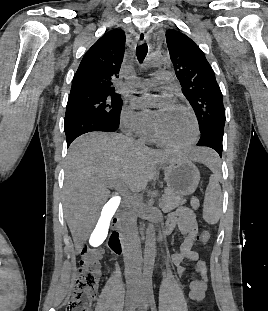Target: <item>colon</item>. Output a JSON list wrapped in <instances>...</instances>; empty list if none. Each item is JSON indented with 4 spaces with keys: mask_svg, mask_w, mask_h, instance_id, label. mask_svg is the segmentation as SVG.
I'll return each instance as SVG.
<instances>
[{
    "mask_svg": "<svg viewBox=\"0 0 268 311\" xmlns=\"http://www.w3.org/2000/svg\"><path fill=\"white\" fill-rule=\"evenodd\" d=\"M210 233L201 231L197 238L204 247L210 242ZM104 251L98 247L86 246L82 250L79 272L66 311H91L92 302L101 276V259Z\"/></svg>",
    "mask_w": 268,
    "mask_h": 311,
    "instance_id": "5ec220e1",
    "label": "colon"
}]
</instances>
